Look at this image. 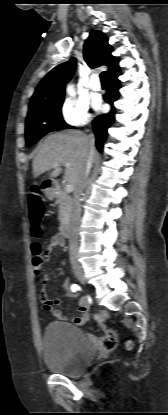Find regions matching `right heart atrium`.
Segmentation results:
<instances>
[{
    "instance_id": "right-heart-atrium-1",
    "label": "right heart atrium",
    "mask_w": 168,
    "mask_h": 415,
    "mask_svg": "<svg viewBox=\"0 0 168 415\" xmlns=\"http://www.w3.org/2000/svg\"><path fill=\"white\" fill-rule=\"evenodd\" d=\"M62 122L69 127H82L91 121L89 106L79 100H67L60 109Z\"/></svg>"
}]
</instances>
